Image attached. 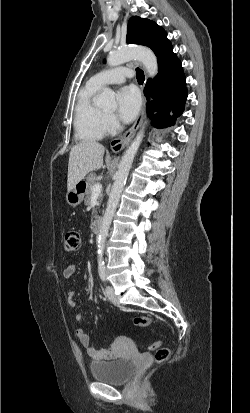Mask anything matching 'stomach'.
<instances>
[{
  "instance_id": "obj_1",
  "label": "stomach",
  "mask_w": 250,
  "mask_h": 413,
  "mask_svg": "<svg viewBox=\"0 0 250 413\" xmlns=\"http://www.w3.org/2000/svg\"><path fill=\"white\" fill-rule=\"evenodd\" d=\"M87 183L84 180L78 182L75 187L66 194V201L70 206H78L84 199Z\"/></svg>"
}]
</instances>
